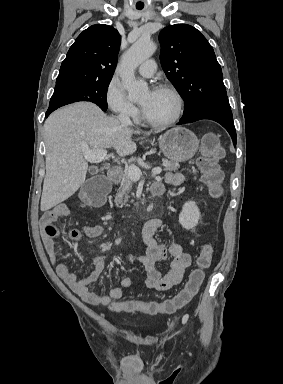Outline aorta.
Here are the masks:
<instances>
[{"mask_svg":"<svg viewBox=\"0 0 283 384\" xmlns=\"http://www.w3.org/2000/svg\"><path fill=\"white\" fill-rule=\"evenodd\" d=\"M156 48L151 40L140 38L123 54L119 71L130 99H136L147 92L146 82L136 80L134 72L143 61L154 54Z\"/></svg>","mask_w":283,"mask_h":384,"instance_id":"obj_1","label":"aorta"}]
</instances>
